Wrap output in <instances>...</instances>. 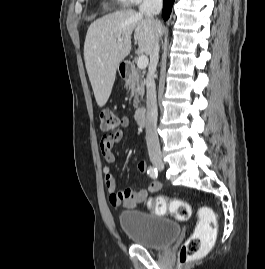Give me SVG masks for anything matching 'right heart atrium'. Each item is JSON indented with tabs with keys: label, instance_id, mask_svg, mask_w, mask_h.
Masks as SVG:
<instances>
[{
	"label": "right heart atrium",
	"instance_id": "right-heart-atrium-1",
	"mask_svg": "<svg viewBox=\"0 0 265 269\" xmlns=\"http://www.w3.org/2000/svg\"><path fill=\"white\" fill-rule=\"evenodd\" d=\"M118 1L126 5H139L145 0H118Z\"/></svg>",
	"mask_w": 265,
	"mask_h": 269
}]
</instances>
